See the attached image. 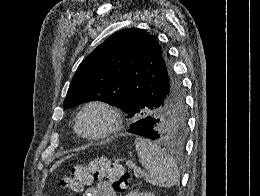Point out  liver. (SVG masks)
Instances as JSON below:
<instances>
[{"mask_svg":"<svg viewBox=\"0 0 260 196\" xmlns=\"http://www.w3.org/2000/svg\"><path fill=\"white\" fill-rule=\"evenodd\" d=\"M72 156H74V154H71V156H66V158H63V160H59V162H56V164H54V166H52L51 172H53V170H56L57 166H60V164H62V162H64V160H68V158H72Z\"/></svg>","mask_w":260,"mask_h":196,"instance_id":"6515ba94","label":"liver"}]
</instances>
